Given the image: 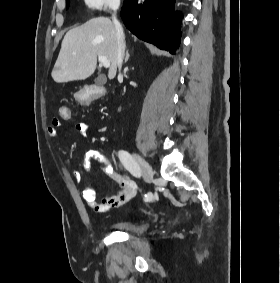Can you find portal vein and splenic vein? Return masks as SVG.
Segmentation results:
<instances>
[{
    "instance_id": "18ae733b",
    "label": "portal vein and splenic vein",
    "mask_w": 280,
    "mask_h": 283,
    "mask_svg": "<svg viewBox=\"0 0 280 283\" xmlns=\"http://www.w3.org/2000/svg\"><path fill=\"white\" fill-rule=\"evenodd\" d=\"M98 60L105 68L110 67V61L107 59V57L99 55Z\"/></svg>"
}]
</instances>
